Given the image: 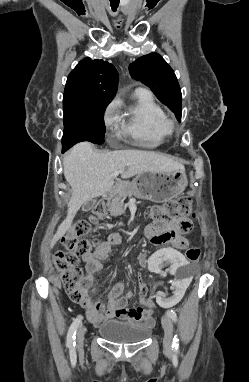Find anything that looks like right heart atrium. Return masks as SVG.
I'll return each instance as SVG.
<instances>
[{"label": "right heart atrium", "mask_w": 249, "mask_h": 382, "mask_svg": "<svg viewBox=\"0 0 249 382\" xmlns=\"http://www.w3.org/2000/svg\"><path fill=\"white\" fill-rule=\"evenodd\" d=\"M118 103L116 101H112L105 109L103 114V122L106 127H113L117 124L118 116H117Z\"/></svg>", "instance_id": "right-heart-atrium-1"}]
</instances>
